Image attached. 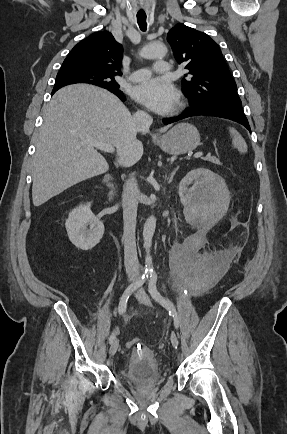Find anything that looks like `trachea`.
<instances>
[{"mask_svg": "<svg viewBox=\"0 0 287 434\" xmlns=\"http://www.w3.org/2000/svg\"><path fill=\"white\" fill-rule=\"evenodd\" d=\"M146 14L145 13H138L137 14V23H138V25H139V28L142 30V31H146V29H147V22H146Z\"/></svg>", "mask_w": 287, "mask_h": 434, "instance_id": "1", "label": "trachea"}]
</instances>
